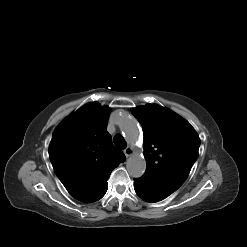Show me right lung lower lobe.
I'll return each instance as SVG.
<instances>
[{
    "label": "right lung lower lobe",
    "instance_id": "1",
    "mask_svg": "<svg viewBox=\"0 0 247 247\" xmlns=\"http://www.w3.org/2000/svg\"><path fill=\"white\" fill-rule=\"evenodd\" d=\"M107 189H108V184L90 202H94L101 199L105 195Z\"/></svg>",
    "mask_w": 247,
    "mask_h": 247
}]
</instances>
